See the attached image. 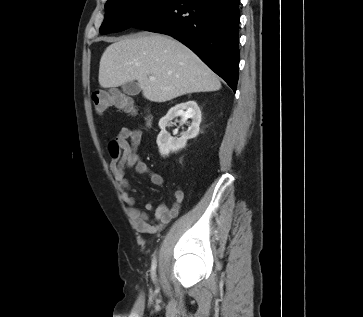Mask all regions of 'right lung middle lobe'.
Masks as SVG:
<instances>
[{
  "instance_id": "obj_1",
  "label": "right lung middle lobe",
  "mask_w": 363,
  "mask_h": 317,
  "mask_svg": "<svg viewBox=\"0 0 363 317\" xmlns=\"http://www.w3.org/2000/svg\"><path fill=\"white\" fill-rule=\"evenodd\" d=\"M177 0H108L100 33L119 32L166 10Z\"/></svg>"
}]
</instances>
